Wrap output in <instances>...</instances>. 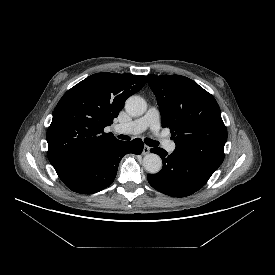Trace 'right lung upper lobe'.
Segmentation results:
<instances>
[{
  "label": "right lung upper lobe",
  "mask_w": 275,
  "mask_h": 275,
  "mask_svg": "<svg viewBox=\"0 0 275 275\" xmlns=\"http://www.w3.org/2000/svg\"><path fill=\"white\" fill-rule=\"evenodd\" d=\"M146 80V76L102 72L68 90L58 102L47 131L52 166L74 162L120 143L111 132L103 130Z\"/></svg>",
  "instance_id": "right-lung-upper-lobe-1"
}]
</instances>
